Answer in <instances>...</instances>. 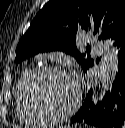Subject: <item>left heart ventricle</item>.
<instances>
[{
    "instance_id": "left-heart-ventricle-1",
    "label": "left heart ventricle",
    "mask_w": 125,
    "mask_h": 128,
    "mask_svg": "<svg viewBox=\"0 0 125 128\" xmlns=\"http://www.w3.org/2000/svg\"><path fill=\"white\" fill-rule=\"evenodd\" d=\"M35 96L44 109L52 113H59L73 104L76 87L68 76L49 75L36 85Z\"/></svg>"
}]
</instances>
